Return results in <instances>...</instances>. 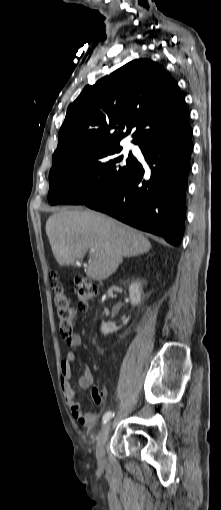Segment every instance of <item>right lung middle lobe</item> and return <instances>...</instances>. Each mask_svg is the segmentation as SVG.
Listing matches in <instances>:
<instances>
[{"instance_id": "1", "label": "right lung middle lobe", "mask_w": 221, "mask_h": 510, "mask_svg": "<svg viewBox=\"0 0 221 510\" xmlns=\"http://www.w3.org/2000/svg\"><path fill=\"white\" fill-rule=\"evenodd\" d=\"M117 145H104L70 154L49 173L51 205L85 204L127 180L139 165Z\"/></svg>"}]
</instances>
